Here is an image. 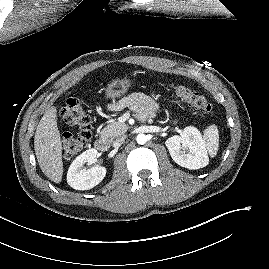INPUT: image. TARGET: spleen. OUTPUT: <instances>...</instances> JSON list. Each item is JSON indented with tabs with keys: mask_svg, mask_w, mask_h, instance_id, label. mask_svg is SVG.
I'll return each instance as SVG.
<instances>
[{
	"mask_svg": "<svg viewBox=\"0 0 269 269\" xmlns=\"http://www.w3.org/2000/svg\"><path fill=\"white\" fill-rule=\"evenodd\" d=\"M204 143L209 155L215 157L219 147V131L215 124L204 130Z\"/></svg>",
	"mask_w": 269,
	"mask_h": 269,
	"instance_id": "spleen-1",
	"label": "spleen"
}]
</instances>
